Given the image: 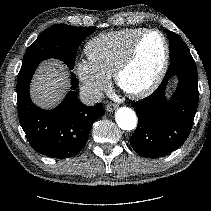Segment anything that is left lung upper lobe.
Masks as SVG:
<instances>
[{"instance_id":"1","label":"left lung upper lobe","mask_w":211,"mask_h":211,"mask_svg":"<svg viewBox=\"0 0 211 211\" xmlns=\"http://www.w3.org/2000/svg\"><path fill=\"white\" fill-rule=\"evenodd\" d=\"M167 35L172 34L173 32L167 30ZM180 53H189V49L187 48L186 44L181 39V43L176 48H170V58L177 56Z\"/></svg>"}]
</instances>
